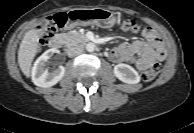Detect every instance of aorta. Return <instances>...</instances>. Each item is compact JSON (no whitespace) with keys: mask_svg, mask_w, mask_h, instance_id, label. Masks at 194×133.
<instances>
[{"mask_svg":"<svg viewBox=\"0 0 194 133\" xmlns=\"http://www.w3.org/2000/svg\"><path fill=\"white\" fill-rule=\"evenodd\" d=\"M96 46L94 43L90 42L86 44V50L88 52H93L95 50Z\"/></svg>","mask_w":194,"mask_h":133,"instance_id":"762f6f07","label":"aorta"}]
</instances>
